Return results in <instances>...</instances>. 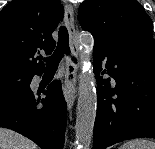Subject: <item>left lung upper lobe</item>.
I'll return each instance as SVG.
<instances>
[{"mask_svg":"<svg viewBox=\"0 0 155 149\" xmlns=\"http://www.w3.org/2000/svg\"><path fill=\"white\" fill-rule=\"evenodd\" d=\"M78 19L94 37V47H154L153 22L136 0H85Z\"/></svg>","mask_w":155,"mask_h":149,"instance_id":"obj_1","label":"left lung upper lobe"}]
</instances>
